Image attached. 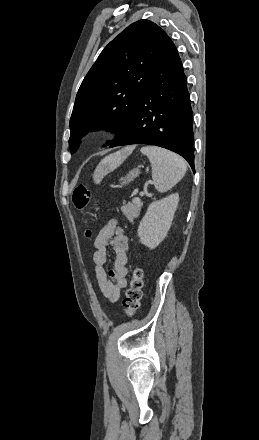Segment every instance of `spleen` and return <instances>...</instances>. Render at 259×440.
I'll use <instances>...</instances> for the list:
<instances>
[{
  "instance_id": "1",
  "label": "spleen",
  "mask_w": 259,
  "mask_h": 440,
  "mask_svg": "<svg viewBox=\"0 0 259 440\" xmlns=\"http://www.w3.org/2000/svg\"><path fill=\"white\" fill-rule=\"evenodd\" d=\"M151 162L155 188L164 193L175 186L185 175L186 162L177 154L166 149L146 146L141 148Z\"/></svg>"
}]
</instances>
